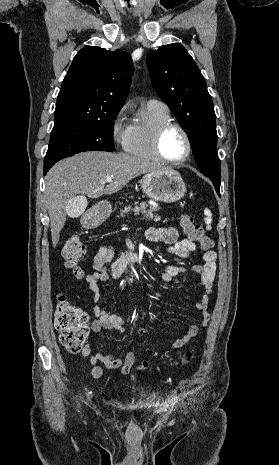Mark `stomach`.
Wrapping results in <instances>:
<instances>
[{
  "instance_id": "1",
  "label": "stomach",
  "mask_w": 279,
  "mask_h": 465,
  "mask_svg": "<svg viewBox=\"0 0 279 465\" xmlns=\"http://www.w3.org/2000/svg\"><path fill=\"white\" fill-rule=\"evenodd\" d=\"M142 189L149 198L165 203H174L186 193L181 175L170 168L146 174L142 179ZM111 212L112 206L108 201L98 202L83 216L82 225L87 228L97 227Z\"/></svg>"
}]
</instances>
